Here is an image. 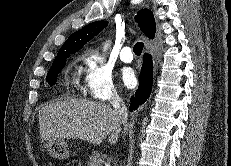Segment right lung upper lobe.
<instances>
[{
	"label": "right lung upper lobe",
	"mask_w": 231,
	"mask_h": 166,
	"mask_svg": "<svg viewBox=\"0 0 231 166\" xmlns=\"http://www.w3.org/2000/svg\"><path fill=\"white\" fill-rule=\"evenodd\" d=\"M136 22H138L139 27L148 38L153 39L155 37V19L153 13L149 9L140 10L136 16ZM107 25V21H96L84 26L66 40L58 51L57 56L76 53Z\"/></svg>",
	"instance_id": "right-lung-upper-lobe-1"
}]
</instances>
